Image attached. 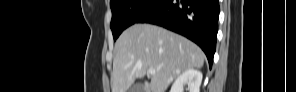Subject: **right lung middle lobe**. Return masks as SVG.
<instances>
[{
	"label": "right lung middle lobe",
	"mask_w": 296,
	"mask_h": 92,
	"mask_svg": "<svg viewBox=\"0 0 296 92\" xmlns=\"http://www.w3.org/2000/svg\"><path fill=\"white\" fill-rule=\"evenodd\" d=\"M159 0H111V30L114 40L124 29L136 23L145 13L150 11Z\"/></svg>",
	"instance_id": "right-lung-middle-lobe-1"
}]
</instances>
